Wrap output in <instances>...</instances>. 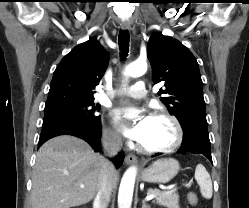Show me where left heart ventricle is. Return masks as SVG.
Returning a JSON list of instances; mask_svg holds the SVG:
<instances>
[{
    "label": "left heart ventricle",
    "mask_w": 249,
    "mask_h": 208,
    "mask_svg": "<svg viewBox=\"0 0 249 208\" xmlns=\"http://www.w3.org/2000/svg\"><path fill=\"white\" fill-rule=\"evenodd\" d=\"M176 138L173 124L163 117H151L148 131L140 143L149 148L169 146Z\"/></svg>",
    "instance_id": "1"
}]
</instances>
